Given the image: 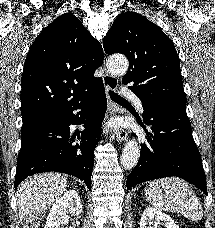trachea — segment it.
Listing matches in <instances>:
<instances>
[{
	"label": "trachea",
	"mask_w": 215,
	"mask_h": 228,
	"mask_svg": "<svg viewBox=\"0 0 215 228\" xmlns=\"http://www.w3.org/2000/svg\"><path fill=\"white\" fill-rule=\"evenodd\" d=\"M109 95L111 97V99L113 101H116L117 103H123V104H129V102L127 100H125V98H122L120 95H118L117 93H114L113 91H109Z\"/></svg>",
	"instance_id": "1"
}]
</instances>
